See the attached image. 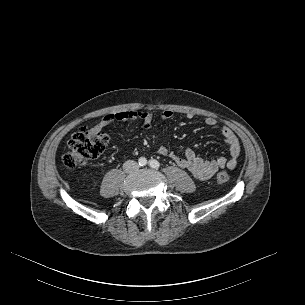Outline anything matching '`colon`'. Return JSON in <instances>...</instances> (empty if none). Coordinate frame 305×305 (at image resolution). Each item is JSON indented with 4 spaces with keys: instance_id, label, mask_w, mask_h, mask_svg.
Returning <instances> with one entry per match:
<instances>
[{
    "instance_id": "5ec220e1",
    "label": "colon",
    "mask_w": 305,
    "mask_h": 305,
    "mask_svg": "<svg viewBox=\"0 0 305 305\" xmlns=\"http://www.w3.org/2000/svg\"><path fill=\"white\" fill-rule=\"evenodd\" d=\"M109 140V135L101 131L89 128L78 130L68 141V151L62 157L64 166L70 169L86 166L101 155ZM215 180L219 184H224L228 182L229 175L226 171H220L216 174Z\"/></svg>"
}]
</instances>
